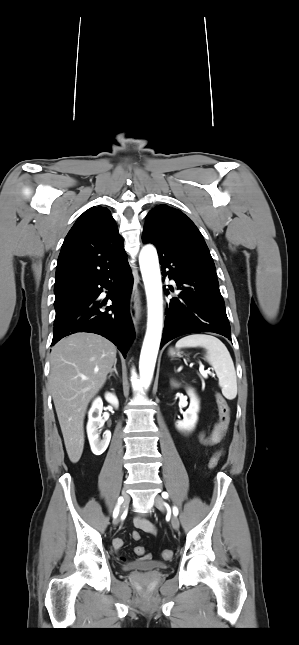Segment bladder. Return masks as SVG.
<instances>
[{
    "instance_id": "bladder-1",
    "label": "bladder",
    "mask_w": 299,
    "mask_h": 645,
    "mask_svg": "<svg viewBox=\"0 0 299 645\" xmlns=\"http://www.w3.org/2000/svg\"><path fill=\"white\" fill-rule=\"evenodd\" d=\"M168 565L159 560H140L122 565L124 571H153L167 569Z\"/></svg>"
}]
</instances>
